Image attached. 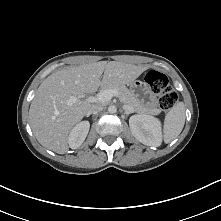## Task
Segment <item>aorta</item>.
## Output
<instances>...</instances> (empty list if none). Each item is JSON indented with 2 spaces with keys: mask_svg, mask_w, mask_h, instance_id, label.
I'll return each mask as SVG.
<instances>
[{
  "mask_svg": "<svg viewBox=\"0 0 221 221\" xmlns=\"http://www.w3.org/2000/svg\"><path fill=\"white\" fill-rule=\"evenodd\" d=\"M108 112L111 113V114L116 113V112H117V107L114 106V105H110V106L108 107Z\"/></svg>",
  "mask_w": 221,
  "mask_h": 221,
  "instance_id": "762f6f07",
  "label": "aorta"
}]
</instances>
